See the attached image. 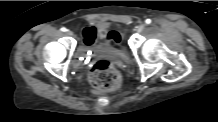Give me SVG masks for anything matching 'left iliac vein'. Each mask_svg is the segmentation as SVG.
<instances>
[{
  "label": "left iliac vein",
  "mask_w": 218,
  "mask_h": 122,
  "mask_svg": "<svg viewBox=\"0 0 218 122\" xmlns=\"http://www.w3.org/2000/svg\"><path fill=\"white\" fill-rule=\"evenodd\" d=\"M144 28H145V25H144V24L139 25V26L137 27V32H138V33L142 32V31L144 30Z\"/></svg>",
  "instance_id": "1"
}]
</instances>
